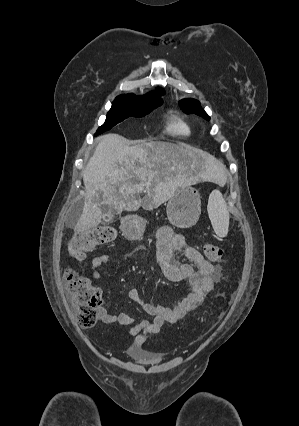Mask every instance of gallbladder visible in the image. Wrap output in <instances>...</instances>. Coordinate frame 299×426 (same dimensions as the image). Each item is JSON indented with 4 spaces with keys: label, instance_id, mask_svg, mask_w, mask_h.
<instances>
[{
    "label": "gallbladder",
    "instance_id": "gallbladder-1",
    "mask_svg": "<svg viewBox=\"0 0 299 426\" xmlns=\"http://www.w3.org/2000/svg\"><path fill=\"white\" fill-rule=\"evenodd\" d=\"M115 209H113L111 206L104 205L102 206V213L104 216L103 223H112L113 222V214L115 213Z\"/></svg>",
    "mask_w": 299,
    "mask_h": 426
}]
</instances>
